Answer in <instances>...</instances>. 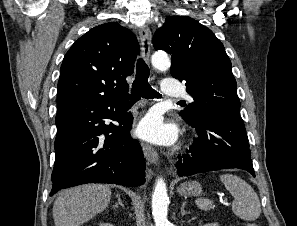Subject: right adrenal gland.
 Listing matches in <instances>:
<instances>
[{"instance_id":"2a0ac1e0","label":"right adrenal gland","mask_w":297,"mask_h":226,"mask_svg":"<svg viewBox=\"0 0 297 226\" xmlns=\"http://www.w3.org/2000/svg\"><path fill=\"white\" fill-rule=\"evenodd\" d=\"M116 197H117V202L115 203V205L113 207L118 208L119 206H122L123 208H125L124 204L121 201L120 195L117 194Z\"/></svg>"}]
</instances>
